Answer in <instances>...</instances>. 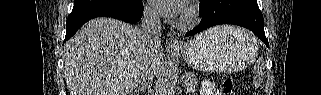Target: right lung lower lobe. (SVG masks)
<instances>
[{
	"instance_id": "1",
	"label": "right lung lower lobe",
	"mask_w": 321,
	"mask_h": 95,
	"mask_svg": "<svg viewBox=\"0 0 321 95\" xmlns=\"http://www.w3.org/2000/svg\"><path fill=\"white\" fill-rule=\"evenodd\" d=\"M143 14V7L140 3L130 10H119L114 8L87 9L71 12L66 21L65 41L72 37L76 31L87 21L100 16L112 17L131 24L138 22Z\"/></svg>"
}]
</instances>
